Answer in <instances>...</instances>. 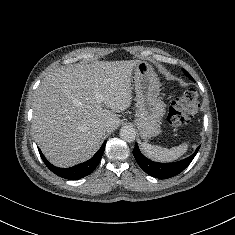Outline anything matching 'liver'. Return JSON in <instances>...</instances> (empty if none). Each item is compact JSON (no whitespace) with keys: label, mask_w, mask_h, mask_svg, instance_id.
<instances>
[{"label":"liver","mask_w":235,"mask_h":235,"mask_svg":"<svg viewBox=\"0 0 235 235\" xmlns=\"http://www.w3.org/2000/svg\"><path fill=\"white\" fill-rule=\"evenodd\" d=\"M139 63L94 61L59 68L41 81L33 102L32 129L52 164L70 167L95 154L105 132L120 123L114 113L131 105V76Z\"/></svg>","instance_id":"obj_1"}]
</instances>
